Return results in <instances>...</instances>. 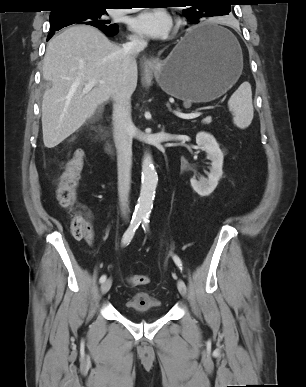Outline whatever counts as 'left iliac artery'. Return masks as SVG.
I'll use <instances>...</instances> for the list:
<instances>
[{"mask_svg":"<svg viewBox=\"0 0 306 387\" xmlns=\"http://www.w3.org/2000/svg\"><path fill=\"white\" fill-rule=\"evenodd\" d=\"M148 223H149L148 218H144L143 221H142V227L146 231H148V229H149ZM172 257H173V260H174L175 264L179 267V269L182 270V262H181L180 258L177 255H172Z\"/></svg>","mask_w":306,"mask_h":387,"instance_id":"left-iliac-artery-1","label":"left iliac artery"}]
</instances>
